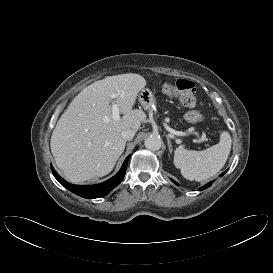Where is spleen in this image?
I'll return each mask as SVG.
<instances>
[{
  "mask_svg": "<svg viewBox=\"0 0 273 273\" xmlns=\"http://www.w3.org/2000/svg\"><path fill=\"white\" fill-rule=\"evenodd\" d=\"M232 139L228 132L220 135L218 144L202 151L176 148L174 152V165L181 170V174L188 180L204 181L217 174L225 165Z\"/></svg>",
  "mask_w": 273,
  "mask_h": 273,
  "instance_id": "1",
  "label": "spleen"
}]
</instances>
